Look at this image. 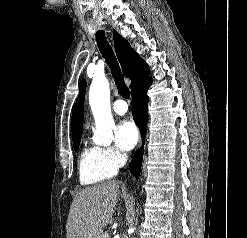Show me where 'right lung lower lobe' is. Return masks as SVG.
<instances>
[{
  "label": "right lung lower lobe",
  "instance_id": "1",
  "mask_svg": "<svg viewBox=\"0 0 247 238\" xmlns=\"http://www.w3.org/2000/svg\"><path fill=\"white\" fill-rule=\"evenodd\" d=\"M152 80L149 78L143 84L135 88L131 91L132 94V107L134 110L133 119L136 125L139 127L143 140L144 134L147 127L148 121V96L146 94L147 89L149 88ZM143 152H144V143H142V147L140 150L137 151L135 154L131 164H130V171L132 174L138 178L139 172L141 169L142 159H143Z\"/></svg>",
  "mask_w": 247,
  "mask_h": 238
}]
</instances>
